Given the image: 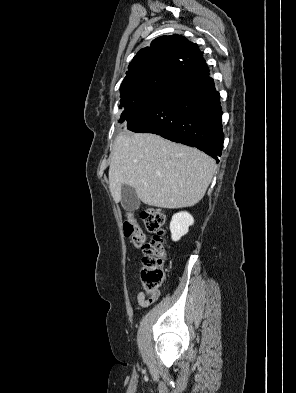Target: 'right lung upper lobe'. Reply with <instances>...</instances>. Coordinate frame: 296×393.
I'll use <instances>...</instances> for the list:
<instances>
[{
    "label": "right lung upper lobe",
    "mask_w": 296,
    "mask_h": 393,
    "mask_svg": "<svg viewBox=\"0 0 296 393\" xmlns=\"http://www.w3.org/2000/svg\"><path fill=\"white\" fill-rule=\"evenodd\" d=\"M202 58L197 45L184 36L174 34L156 38L151 46L138 51L130 62L120 87L121 101L139 95L149 80L169 78L179 68L191 66Z\"/></svg>",
    "instance_id": "1"
}]
</instances>
